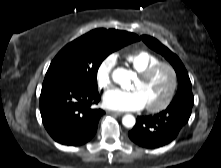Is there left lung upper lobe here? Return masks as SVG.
<instances>
[{
	"label": "left lung upper lobe",
	"instance_id": "left-lung-upper-lobe-1",
	"mask_svg": "<svg viewBox=\"0 0 221 168\" xmlns=\"http://www.w3.org/2000/svg\"><path fill=\"white\" fill-rule=\"evenodd\" d=\"M141 39L153 50L162 54L173 66L176 71L177 78H178V90L173 98L172 103L186 101V102H193V94L191 89V82L185 69L183 63L175 55L171 52L167 47H165L162 43H160L157 39L143 35Z\"/></svg>",
	"mask_w": 221,
	"mask_h": 168
}]
</instances>
